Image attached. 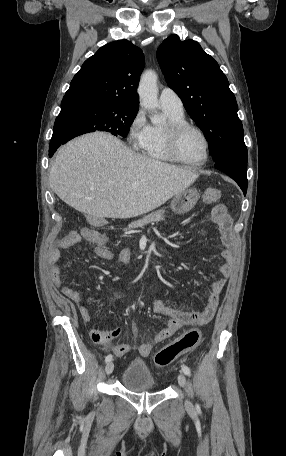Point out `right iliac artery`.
I'll list each match as a JSON object with an SVG mask.
<instances>
[{
  "label": "right iliac artery",
  "mask_w": 286,
  "mask_h": 456,
  "mask_svg": "<svg viewBox=\"0 0 286 456\" xmlns=\"http://www.w3.org/2000/svg\"><path fill=\"white\" fill-rule=\"evenodd\" d=\"M111 360H112V355L111 354L107 355L105 358V362L107 363V362H110Z\"/></svg>",
  "instance_id": "1"
}]
</instances>
